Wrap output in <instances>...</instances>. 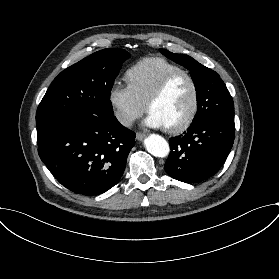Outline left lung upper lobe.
I'll list each match as a JSON object with an SVG mask.
<instances>
[{"label": "left lung upper lobe", "mask_w": 279, "mask_h": 279, "mask_svg": "<svg viewBox=\"0 0 279 279\" xmlns=\"http://www.w3.org/2000/svg\"><path fill=\"white\" fill-rule=\"evenodd\" d=\"M159 50L169 59L190 70L197 95V113L192 123L205 117L234 119L232 97L218 73L188 55L174 54L165 49Z\"/></svg>", "instance_id": "1"}]
</instances>
